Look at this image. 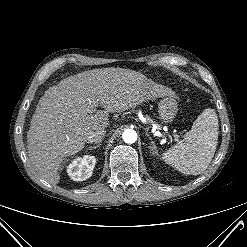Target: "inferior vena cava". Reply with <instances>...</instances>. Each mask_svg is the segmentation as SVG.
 <instances>
[{
  "mask_svg": "<svg viewBox=\"0 0 247 247\" xmlns=\"http://www.w3.org/2000/svg\"><path fill=\"white\" fill-rule=\"evenodd\" d=\"M106 132L104 129H98L93 132H91L87 138L86 141L88 143H100L105 138Z\"/></svg>",
  "mask_w": 247,
  "mask_h": 247,
  "instance_id": "obj_1",
  "label": "inferior vena cava"
}]
</instances>
